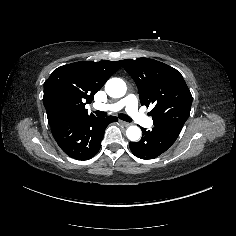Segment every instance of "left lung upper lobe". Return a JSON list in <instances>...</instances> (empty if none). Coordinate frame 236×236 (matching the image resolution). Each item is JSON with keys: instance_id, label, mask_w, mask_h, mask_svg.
<instances>
[{"instance_id": "obj_1", "label": "left lung upper lobe", "mask_w": 236, "mask_h": 236, "mask_svg": "<svg viewBox=\"0 0 236 236\" xmlns=\"http://www.w3.org/2000/svg\"><path fill=\"white\" fill-rule=\"evenodd\" d=\"M135 81L142 105L153 104L149 113L154 125L182 129L189 117L192 95L174 68L149 58L121 61Z\"/></svg>"}]
</instances>
